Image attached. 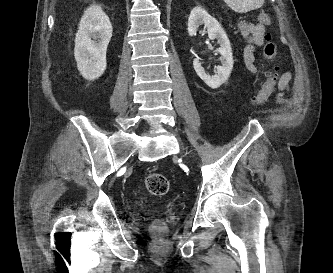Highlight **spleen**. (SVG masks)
Listing matches in <instances>:
<instances>
[{
    "instance_id": "spleen-1",
    "label": "spleen",
    "mask_w": 333,
    "mask_h": 273,
    "mask_svg": "<svg viewBox=\"0 0 333 273\" xmlns=\"http://www.w3.org/2000/svg\"><path fill=\"white\" fill-rule=\"evenodd\" d=\"M265 0H224L237 13H246L262 7Z\"/></svg>"
}]
</instances>
